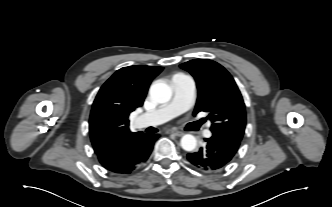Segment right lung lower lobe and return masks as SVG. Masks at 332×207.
Here are the masks:
<instances>
[{
    "mask_svg": "<svg viewBox=\"0 0 332 207\" xmlns=\"http://www.w3.org/2000/svg\"><path fill=\"white\" fill-rule=\"evenodd\" d=\"M159 135L135 133L114 150L97 154L101 165L112 173L130 174L150 156Z\"/></svg>",
    "mask_w": 332,
    "mask_h": 207,
    "instance_id": "98d812e1",
    "label": "right lung lower lobe"
}]
</instances>
